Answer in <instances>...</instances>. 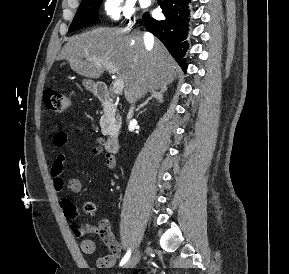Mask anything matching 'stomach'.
<instances>
[{"label": "stomach", "instance_id": "obj_1", "mask_svg": "<svg viewBox=\"0 0 289 274\" xmlns=\"http://www.w3.org/2000/svg\"><path fill=\"white\" fill-rule=\"evenodd\" d=\"M83 85H84V87L87 90H89L91 92H95L96 91V84L92 80L84 79L83 80Z\"/></svg>", "mask_w": 289, "mask_h": 274}]
</instances>
